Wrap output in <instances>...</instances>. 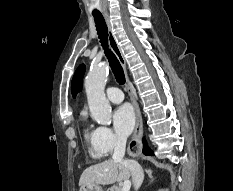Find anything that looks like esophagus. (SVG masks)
Here are the masks:
<instances>
[{
	"mask_svg": "<svg viewBox=\"0 0 233 191\" xmlns=\"http://www.w3.org/2000/svg\"><path fill=\"white\" fill-rule=\"evenodd\" d=\"M104 17H105V21H106V24H107V27H108L109 45H110L111 50L116 55L118 61L120 62L121 66L123 67V69L125 71L126 89H127L128 94L130 96V99H131V102L133 104L135 114H136L135 131H134L133 138L131 139V141L129 143V151H131L130 155L139 156L140 151H142V142H140L141 137H142V132H143L142 115H141L140 108H139L138 102L136 100L135 94L133 93V91H132V89L130 87V84H129V79H128V75H127V72H126V62H125L124 56L122 54L121 48L119 47L118 42L116 40V37H115V35L113 33L110 18L108 16V14H105Z\"/></svg>",
	"mask_w": 233,
	"mask_h": 191,
	"instance_id": "esophagus-1",
	"label": "esophagus"
}]
</instances>
